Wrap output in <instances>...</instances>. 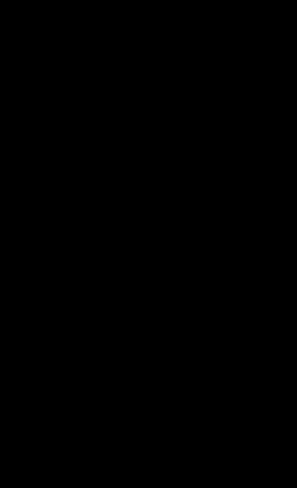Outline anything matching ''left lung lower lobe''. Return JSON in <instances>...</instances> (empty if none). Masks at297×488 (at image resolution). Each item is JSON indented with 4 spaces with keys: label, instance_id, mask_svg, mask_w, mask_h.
<instances>
[{
    "label": "left lung lower lobe",
    "instance_id": "left-lung-lower-lobe-1",
    "mask_svg": "<svg viewBox=\"0 0 297 488\" xmlns=\"http://www.w3.org/2000/svg\"><path fill=\"white\" fill-rule=\"evenodd\" d=\"M157 194V191L154 193V197H156L155 195ZM158 195V194H157Z\"/></svg>",
    "mask_w": 297,
    "mask_h": 488
}]
</instances>
